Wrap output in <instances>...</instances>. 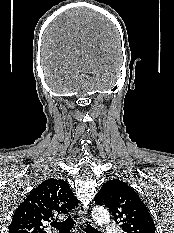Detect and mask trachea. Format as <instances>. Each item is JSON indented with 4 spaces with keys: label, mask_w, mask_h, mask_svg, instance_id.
<instances>
[{
    "label": "trachea",
    "mask_w": 174,
    "mask_h": 233,
    "mask_svg": "<svg viewBox=\"0 0 174 233\" xmlns=\"http://www.w3.org/2000/svg\"><path fill=\"white\" fill-rule=\"evenodd\" d=\"M75 224V221L73 218L69 215L68 218L63 222H52L51 226L55 227L59 233H70L71 229L73 228ZM85 233H101L97 231L95 228H93L91 225L86 224L85 228H83Z\"/></svg>",
    "instance_id": "3493384b"
}]
</instances>
